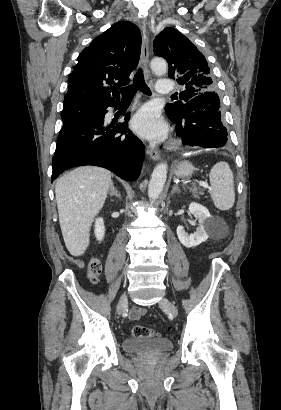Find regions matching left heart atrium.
Wrapping results in <instances>:
<instances>
[{
  "label": "left heart atrium",
  "instance_id": "39dd6f15",
  "mask_svg": "<svg viewBox=\"0 0 281 410\" xmlns=\"http://www.w3.org/2000/svg\"><path fill=\"white\" fill-rule=\"evenodd\" d=\"M133 130L150 140H163L167 136L168 126L153 106L142 107L131 121Z\"/></svg>",
  "mask_w": 281,
  "mask_h": 410
}]
</instances>
